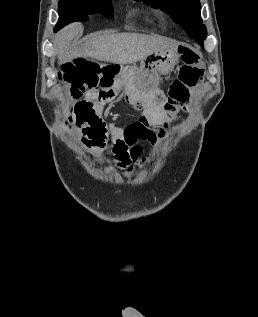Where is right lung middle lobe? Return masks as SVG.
<instances>
[{"label": "right lung middle lobe", "mask_w": 258, "mask_h": 317, "mask_svg": "<svg viewBox=\"0 0 258 317\" xmlns=\"http://www.w3.org/2000/svg\"><path fill=\"white\" fill-rule=\"evenodd\" d=\"M59 8L73 7L82 10L86 14H101L113 18L111 0H60Z\"/></svg>", "instance_id": "right-lung-middle-lobe-1"}]
</instances>
